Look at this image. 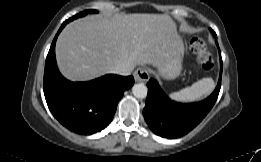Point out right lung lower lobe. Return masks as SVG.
<instances>
[{"label": "right lung lower lobe", "instance_id": "right-lung-lower-lobe-1", "mask_svg": "<svg viewBox=\"0 0 261 162\" xmlns=\"http://www.w3.org/2000/svg\"><path fill=\"white\" fill-rule=\"evenodd\" d=\"M66 20L57 32L48 52L44 71V95L53 116L67 129L90 135L106 128L113 119L124 91L134 84L133 76L105 75L88 82H70L59 72L55 43Z\"/></svg>", "mask_w": 261, "mask_h": 162}]
</instances>
